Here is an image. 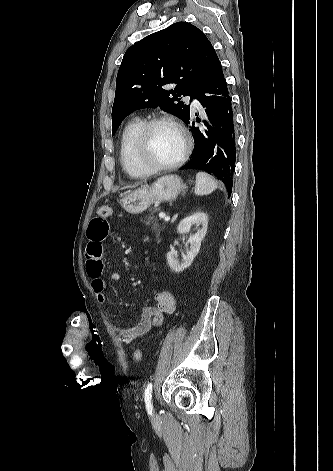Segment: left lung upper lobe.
<instances>
[{
  "label": "left lung upper lobe",
  "instance_id": "left-lung-upper-lobe-1",
  "mask_svg": "<svg viewBox=\"0 0 333 471\" xmlns=\"http://www.w3.org/2000/svg\"><path fill=\"white\" fill-rule=\"evenodd\" d=\"M216 52L205 34L187 22H177L127 49L120 65L112 108V134L135 110L160 107L190 120V105L179 97L195 98ZM175 84L173 90L166 88Z\"/></svg>",
  "mask_w": 333,
  "mask_h": 471
}]
</instances>
